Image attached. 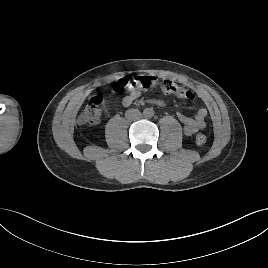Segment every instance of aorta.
<instances>
[{
    "label": "aorta",
    "mask_w": 268,
    "mask_h": 268,
    "mask_svg": "<svg viewBox=\"0 0 268 268\" xmlns=\"http://www.w3.org/2000/svg\"><path fill=\"white\" fill-rule=\"evenodd\" d=\"M143 115L146 118H152L153 115H154V111H153L152 108H145L144 111H143Z\"/></svg>",
    "instance_id": "1"
}]
</instances>
